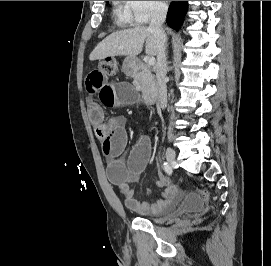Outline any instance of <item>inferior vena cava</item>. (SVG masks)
Listing matches in <instances>:
<instances>
[{"mask_svg": "<svg viewBox=\"0 0 271 266\" xmlns=\"http://www.w3.org/2000/svg\"><path fill=\"white\" fill-rule=\"evenodd\" d=\"M168 6L164 3H157L154 6L151 15L149 30L154 34L157 45V64L156 77L158 86V104L160 108L165 109L167 106V88H166V42L167 37L163 30V23L166 19Z\"/></svg>", "mask_w": 271, "mask_h": 266, "instance_id": "inferior-vena-cava-1", "label": "inferior vena cava"}]
</instances>
